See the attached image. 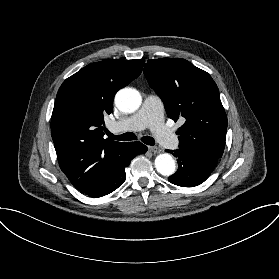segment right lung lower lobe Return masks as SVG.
I'll return each instance as SVG.
<instances>
[{"mask_svg": "<svg viewBox=\"0 0 279 279\" xmlns=\"http://www.w3.org/2000/svg\"><path fill=\"white\" fill-rule=\"evenodd\" d=\"M147 147L140 142L130 143L127 153L122 161L115 167L112 173L91 193L86 194L89 197L98 198L110 194L116 190L125 181V167L138 154H144Z\"/></svg>", "mask_w": 279, "mask_h": 279, "instance_id": "1", "label": "right lung lower lobe"}]
</instances>
